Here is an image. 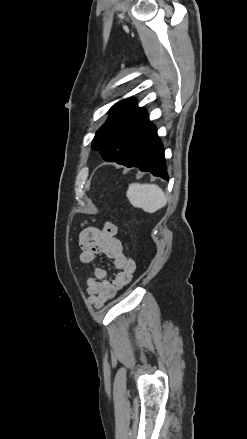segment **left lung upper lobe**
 <instances>
[{"label":"left lung upper lobe","mask_w":247,"mask_h":439,"mask_svg":"<svg viewBox=\"0 0 247 439\" xmlns=\"http://www.w3.org/2000/svg\"><path fill=\"white\" fill-rule=\"evenodd\" d=\"M111 117L96 133L92 148L108 162L122 164L133 142L149 122L146 112L132 100H122L110 109Z\"/></svg>","instance_id":"1"}]
</instances>
